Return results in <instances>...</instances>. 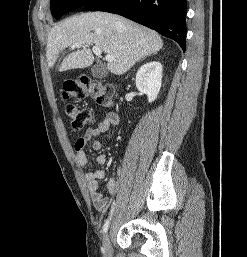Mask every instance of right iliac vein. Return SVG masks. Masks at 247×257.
<instances>
[{"mask_svg":"<svg viewBox=\"0 0 247 257\" xmlns=\"http://www.w3.org/2000/svg\"><path fill=\"white\" fill-rule=\"evenodd\" d=\"M103 255L104 257H112V245L109 233H106L103 237Z\"/></svg>","mask_w":247,"mask_h":257,"instance_id":"63e3f726","label":"right iliac vein"}]
</instances>
